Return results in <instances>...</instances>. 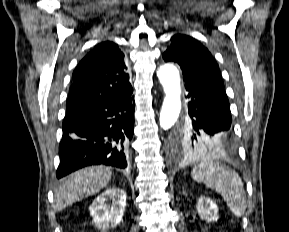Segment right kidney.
I'll return each mask as SVG.
<instances>
[{
	"label": "right kidney",
	"instance_id": "1",
	"mask_svg": "<svg viewBox=\"0 0 289 232\" xmlns=\"http://www.w3.org/2000/svg\"><path fill=\"white\" fill-rule=\"evenodd\" d=\"M127 194L119 188H108L92 202L89 211L98 229L116 227L122 221Z\"/></svg>",
	"mask_w": 289,
	"mask_h": 232
}]
</instances>
